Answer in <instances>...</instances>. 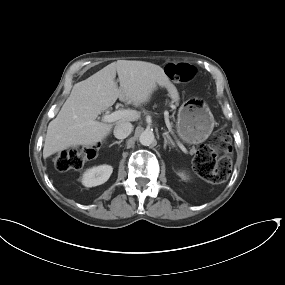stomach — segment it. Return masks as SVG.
I'll list each match as a JSON object with an SVG mask.
<instances>
[{
	"label": "stomach",
	"mask_w": 285,
	"mask_h": 285,
	"mask_svg": "<svg viewBox=\"0 0 285 285\" xmlns=\"http://www.w3.org/2000/svg\"><path fill=\"white\" fill-rule=\"evenodd\" d=\"M214 123L208 106L198 98H191L178 110L177 134L186 143L199 144L210 136Z\"/></svg>",
	"instance_id": "1"
}]
</instances>
